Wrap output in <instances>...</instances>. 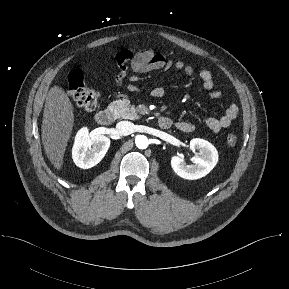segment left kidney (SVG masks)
<instances>
[{
    "instance_id": "5707ae66",
    "label": "left kidney",
    "mask_w": 289,
    "mask_h": 289,
    "mask_svg": "<svg viewBox=\"0 0 289 289\" xmlns=\"http://www.w3.org/2000/svg\"><path fill=\"white\" fill-rule=\"evenodd\" d=\"M190 149L193 152L198 151L191 158L192 165H187L181 156H173L171 166L181 178L195 180L206 176L215 167L218 161V152L210 142L200 138L190 141Z\"/></svg>"
}]
</instances>
